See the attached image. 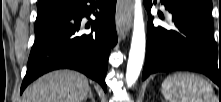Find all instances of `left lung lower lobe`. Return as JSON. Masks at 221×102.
Here are the masks:
<instances>
[{"instance_id": "1", "label": "left lung lower lobe", "mask_w": 221, "mask_h": 102, "mask_svg": "<svg viewBox=\"0 0 221 102\" xmlns=\"http://www.w3.org/2000/svg\"><path fill=\"white\" fill-rule=\"evenodd\" d=\"M156 3V1H154ZM172 14L175 30L148 25L142 79L160 71L189 70L205 74L221 88V48L212 18L184 0H161ZM149 11L151 0L144 1Z\"/></svg>"}]
</instances>
